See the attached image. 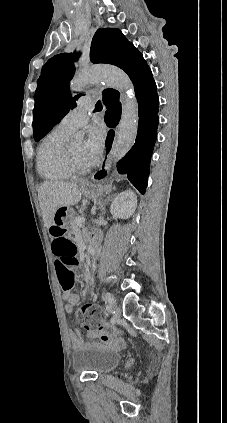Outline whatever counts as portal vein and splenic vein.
Here are the masks:
<instances>
[{
	"instance_id": "1",
	"label": "portal vein and splenic vein",
	"mask_w": 227,
	"mask_h": 423,
	"mask_svg": "<svg viewBox=\"0 0 227 423\" xmlns=\"http://www.w3.org/2000/svg\"><path fill=\"white\" fill-rule=\"evenodd\" d=\"M76 223H82V221H85V217H75Z\"/></svg>"
}]
</instances>
